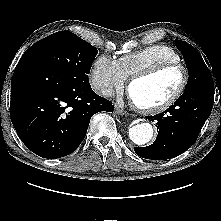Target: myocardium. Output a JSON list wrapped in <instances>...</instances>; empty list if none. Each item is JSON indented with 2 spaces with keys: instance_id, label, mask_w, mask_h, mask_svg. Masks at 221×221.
I'll use <instances>...</instances> for the list:
<instances>
[{
  "instance_id": "myocardium-1",
  "label": "myocardium",
  "mask_w": 221,
  "mask_h": 221,
  "mask_svg": "<svg viewBox=\"0 0 221 221\" xmlns=\"http://www.w3.org/2000/svg\"><path fill=\"white\" fill-rule=\"evenodd\" d=\"M173 68H178L182 72V81H181L179 88L176 90V92L172 96H170L166 101L160 104L154 105V106H143L134 102V105L137 110L144 112V113H149V114H158V113H161L170 109L174 104L177 103V101L184 94L187 88L188 82H189V73H188V69L186 68V66L180 62H164V63L151 66L145 70L139 71L130 77L128 86H127L129 92H130L131 86L135 82L142 80V79L153 77L163 71L173 69Z\"/></svg>"
}]
</instances>
